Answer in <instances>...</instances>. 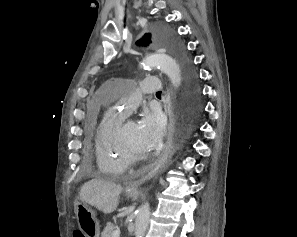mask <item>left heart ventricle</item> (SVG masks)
<instances>
[{"mask_svg": "<svg viewBox=\"0 0 297 237\" xmlns=\"http://www.w3.org/2000/svg\"><path fill=\"white\" fill-rule=\"evenodd\" d=\"M123 134L129 146L136 152L145 153L148 150L141 144L138 136L137 123L124 122Z\"/></svg>", "mask_w": 297, "mask_h": 237, "instance_id": "left-heart-ventricle-1", "label": "left heart ventricle"}]
</instances>
